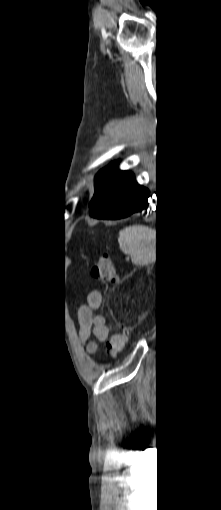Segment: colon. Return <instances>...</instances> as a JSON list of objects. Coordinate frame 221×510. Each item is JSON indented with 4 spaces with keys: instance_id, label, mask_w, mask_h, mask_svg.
<instances>
[{
    "instance_id": "5ec220e1",
    "label": "colon",
    "mask_w": 221,
    "mask_h": 510,
    "mask_svg": "<svg viewBox=\"0 0 221 510\" xmlns=\"http://www.w3.org/2000/svg\"><path fill=\"white\" fill-rule=\"evenodd\" d=\"M91 273L96 281L114 282L116 277L112 260L108 256H102L96 259L92 265ZM130 331L127 327H122L116 331L107 342V352L111 356L121 352L129 339Z\"/></svg>"
}]
</instances>
